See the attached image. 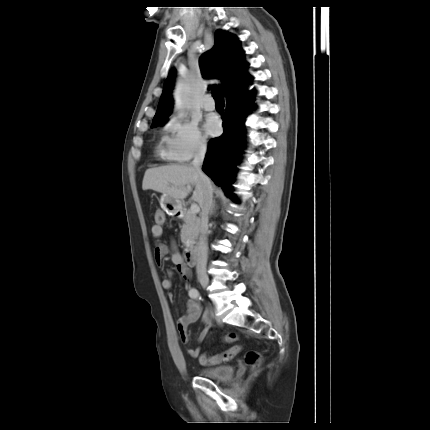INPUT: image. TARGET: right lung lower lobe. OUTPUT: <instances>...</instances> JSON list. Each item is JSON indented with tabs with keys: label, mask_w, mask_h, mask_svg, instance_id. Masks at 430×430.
Masks as SVG:
<instances>
[{
	"label": "right lung lower lobe",
	"mask_w": 430,
	"mask_h": 430,
	"mask_svg": "<svg viewBox=\"0 0 430 430\" xmlns=\"http://www.w3.org/2000/svg\"><path fill=\"white\" fill-rule=\"evenodd\" d=\"M248 76L243 82L234 88H230L226 94V113L223 120V134L209 142L208 152L204 161L203 171L211 179L221 186L228 197L239 203L230 184L235 174V166L240 159V149L244 143V119L252 111V95L247 90L250 82ZM233 155L237 160L233 162Z\"/></svg>",
	"instance_id": "obj_1"
}]
</instances>
